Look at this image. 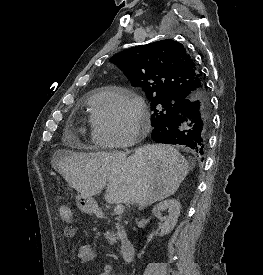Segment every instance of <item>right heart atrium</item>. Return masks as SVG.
Returning a JSON list of instances; mask_svg holds the SVG:
<instances>
[{
    "mask_svg": "<svg viewBox=\"0 0 263 275\" xmlns=\"http://www.w3.org/2000/svg\"><path fill=\"white\" fill-rule=\"evenodd\" d=\"M146 122L141 99L122 89L105 88L92 99L93 140L101 147L133 143Z\"/></svg>",
    "mask_w": 263,
    "mask_h": 275,
    "instance_id": "d8ad5b80",
    "label": "right heart atrium"
}]
</instances>
